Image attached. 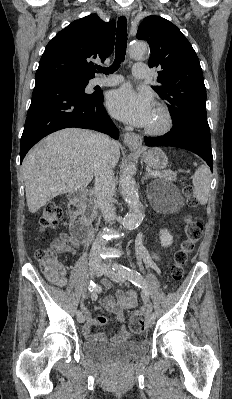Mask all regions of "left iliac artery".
<instances>
[{"instance_id": "44dca946", "label": "left iliac artery", "mask_w": 232, "mask_h": 399, "mask_svg": "<svg viewBox=\"0 0 232 399\" xmlns=\"http://www.w3.org/2000/svg\"><path fill=\"white\" fill-rule=\"evenodd\" d=\"M112 269L118 274L124 276L133 285L139 288L146 286L145 280L137 270L131 269L130 267L123 264H113ZM151 317L154 319L156 317V314L152 313Z\"/></svg>"}]
</instances>
